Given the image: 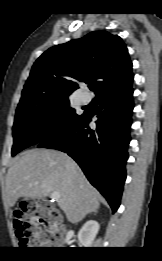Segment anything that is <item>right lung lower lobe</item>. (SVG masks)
Wrapping results in <instances>:
<instances>
[{
	"label": "right lung lower lobe",
	"mask_w": 162,
	"mask_h": 261,
	"mask_svg": "<svg viewBox=\"0 0 162 261\" xmlns=\"http://www.w3.org/2000/svg\"><path fill=\"white\" fill-rule=\"evenodd\" d=\"M132 84L97 96V128H89L91 115L82 114L67 128L40 142L39 148L66 152L82 168L90 183L106 198L113 212L121 200L130 142Z\"/></svg>",
	"instance_id": "1"
}]
</instances>
